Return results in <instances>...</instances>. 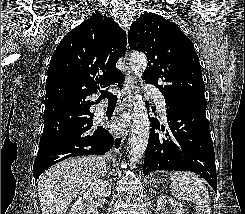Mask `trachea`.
<instances>
[{"instance_id": "trachea-1", "label": "trachea", "mask_w": 245, "mask_h": 214, "mask_svg": "<svg viewBox=\"0 0 245 214\" xmlns=\"http://www.w3.org/2000/svg\"><path fill=\"white\" fill-rule=\"evenodd\" d=\"M101 95V98H107L108 99V103H116L117 101V96L115 94H113L110 91H104V90H99Z\"/></svg>"}]
</instances>
